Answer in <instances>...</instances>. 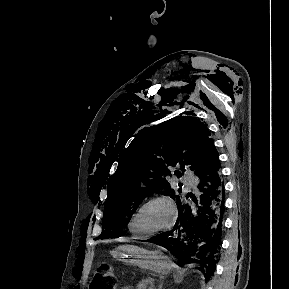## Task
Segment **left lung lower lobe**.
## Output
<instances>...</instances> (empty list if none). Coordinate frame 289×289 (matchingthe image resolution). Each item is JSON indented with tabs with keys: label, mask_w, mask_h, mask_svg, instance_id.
I'll return each mask as SVG.
<instances>
[{
	"label": "left lung lower lobe",
	"mask_w": 289,
	"mask_h": 289,
	"mask_svg": "<svg viewBox=\"0 0 289 289\" xmlns=\"http://www.w3.org/2000/svg\"><path fill=\"white\" fill-rule=\"evenodd\" d=\"M197 192L176 200L178 219L169 232L149 242L165 247L184 263H199L206 279L214 272L220 249L224 185L217 150L196 173Z\"/></svg>",
	"instance_id": "left-lung-lower-lobe-1"
}]
</instances>
